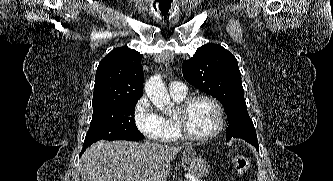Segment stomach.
I'll list each match as a JSON object with an SVG mask.
<instances>
[{
    "mask_svg": "<svg viewBox=\"0 0 333 181\" xmlns=\"http://www.w3.org/2000/svg\"><path fill=\"white\" fill-rule=\"evenodd\" d=\"M181 163L183 168L196 178H202L208 174V162L201 157H197L193 149L184 151Z\"/></svg>",
    "mask_w": 333,
    "mask_h": 181,
    "instance_id": "obj_1",
    "label": "stomach"
}]
</instances>
